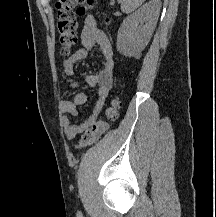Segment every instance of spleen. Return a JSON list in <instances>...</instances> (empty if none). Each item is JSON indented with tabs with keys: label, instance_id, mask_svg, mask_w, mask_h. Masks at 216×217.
Wrapping results in <instances>:
<instances>
[{
	"label": "spleen",
	"instance_id": "spleen-1",
	"mask_svg": "<svg viewBox=\"0 0 216 217\" xmlns=\"http://www.w3.org/2000/svg\"><path fill=\"white\" fill-rule=\"evenodd\" d=\"M146 0H121V10L123 13H131Z\"/></svg>",
	"mask_w": 216,
	"mask_h": 217
}]
</instances>
